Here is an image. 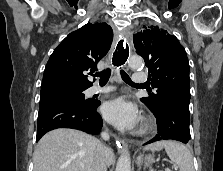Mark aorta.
I'll return each mask as SVG.
<instances>
[{"instance_id":"aorta-1","label":"aorta","mask_w":223,"mask_h":171,"mask_svg":"<svg viewBox=\"0 0 223 171\" xmlns=\"http://www.w3.org/2000/svg\"><path fill=\"white\" fill-rule=\"evenodd\" d=\"M128 65L132 69H139L143 66V59L140 56H131ZM115 171H131V161L128 152L123 153L117 162Z\"/></svg>"}]
</instances>
